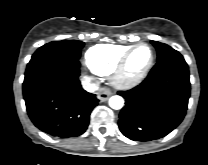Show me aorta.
Listing matches in <instances>:
<instances>
[{
    "mask_svg": "<svg viewBox=\"0 0 208 165\" xmlns=\"http://www.w3.org/2000/svg\"><path fill=\"white\" fill-rule=\"evenodd\" d=\"M124 100L121 96L114 95L109 99V106L112 109L119 110L123 107Z\"/></svg>",
    "mask_w": 208,
    "mask_h": 165,
    "instance_id": "obj_1",
    "label": "aorta"
}]
</instances>
